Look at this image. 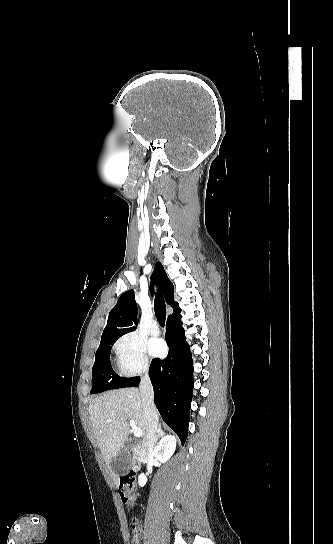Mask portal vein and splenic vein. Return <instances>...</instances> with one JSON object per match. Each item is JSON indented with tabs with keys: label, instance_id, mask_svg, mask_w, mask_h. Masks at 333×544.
<instances>
[{
	"label": "portal vein and splenic vein",
	"instance_id": "obj_1",
	"mask_svg": "<svg viewBox=\"0 0 333 544\" xmlns=\"http://www.w3.org/2000/svg\"><path fill=\"white\" fill-rule=\"evenodd\" d=\"M130 427L132 428L133 434L135 437L140 438L142 436V430L137 427L134 420L129 421Z\"/></svg>",
	"mask_w": 333,
	"mask_h": 544
}]
</instances>
